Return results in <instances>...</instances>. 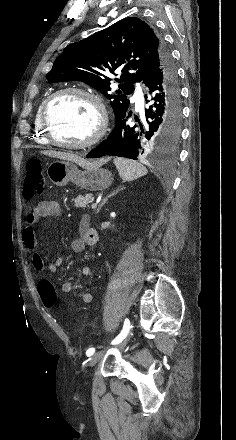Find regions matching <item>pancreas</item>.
I'll return each instance as SVG.
<instances>
[{
  "label": "pancreas",
  "instance_id": "pancreas-1",
  "mask_svg": "<svg viewBox=\"0 0 236 440\" xmlns=\"http://www.w3.org/2000/svg\"><path fill=\"white\" fill-rule=\"evenodd\" d=\"M92 201V195H79L77 198L73 199L74 205L80 208L89 207V203Z\"/></svg>",
  "mask_w": 236,
  "mask_h": 440
}]
</instances>
